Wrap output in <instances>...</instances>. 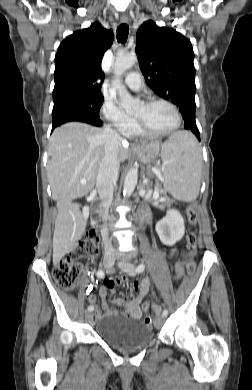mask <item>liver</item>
I'll return each instance as SVG.
<instances>
[{
	"label": "liver",
	"mask_w": 252,
	"mask_h": 390,
	"mask_svg": "<svg viewBox=\"0 0 252 390\" xmlns=\"http://www.w3.org/2000/svg\"><path fill=\"white\" fill-rule=\"evenodd\" d=\"M105 144L103 129L79 122L56 128L50 137L47 176L58 209L53 235L55 264L73 250L85 231L86 221L73 200L94 188ZM117 157L119 162L129 157L128 145L120 142ZM81 180L86 183L81 184Z\"/></svg>",
	"instance_id": "liver-1"
}]
</instances>
